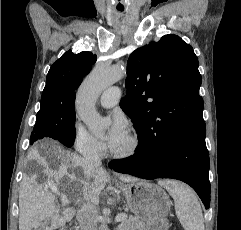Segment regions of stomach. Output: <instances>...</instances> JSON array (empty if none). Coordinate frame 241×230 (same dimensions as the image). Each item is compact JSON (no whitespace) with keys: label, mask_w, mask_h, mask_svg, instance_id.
<instances>
[{"label":"stomach","mask_w":241,"mask_h":230,"mask_svg":"<svg viewBox=\"0 0 241 230\" xmlns=\"http://www.w3.org/2000/svg\"><path fill=\"white\" fill-rule=\"evenodd\" d=\"M119 188L125 196L128 208L137 219L146 224V230H168L167 215L171 209V201L161 187L139 180L120 183Z\"/></svg>","instance_id":"stomach-1"}]
</instances>
